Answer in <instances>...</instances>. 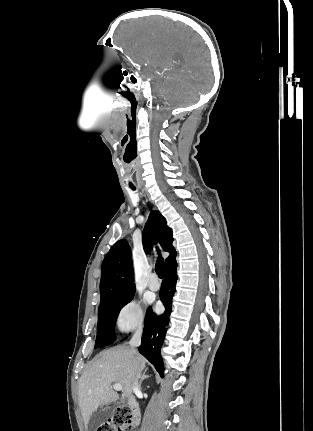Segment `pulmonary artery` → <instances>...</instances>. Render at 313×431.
<instances>
[{
    "label": "pulmonary artery",
    "mask_w": 313,
    "mask_h": 431,
    "mask_svg": "<svg viewBox=\"0 0 313 431\" xmlns=\"http://www.w3.org/2000/svg\"><path fill=\"white\" fill-rule=\"evenodd\" d=\"M148 287L151 289V290H153V291H157V290H159V288H160V283H159V281H158V279H157V277H156V275H152L151 276V279H150V282H149V284H148Z\"/></svg>",
    "instance_id": "1"
}]
</instances>
